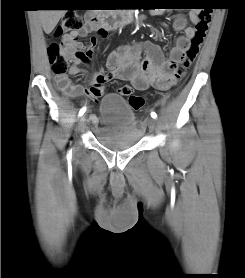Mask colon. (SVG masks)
Instances as JSON below:
<instances>
[{
  "label": "colon",
  "instance_id": "colon-1",
  "mask_svg": "<svg viewBox=\"0 0 245 278\" xmlns=\"http://www.w3.org/2000/svg\"><path fill=\"white\" fill-rule=\"evenodd\" d=\"M193 9L197 12V20L195 22V34L191 44L187 50L184 62L175 67L173 74L175 78H180L184 71L192 64L198 53L199 43L203 40L209 23L211 14L208 6H195ZM93 18L89 20V25H94ZM84 28V19L81 15L69 12L63 15L57 29L48 34L50 40L48 52L51 58V69L56 77H63L69 62L84 61L87 58V53L84 50L76 48L73 45L65 44L62 41H56L55 38L63 34L79 32ZM63 83H67L63 80ZM118 93L124 97H128L129 104L134 110H139L144 104V98L139 95L131 94L129 86H122Z\"/></svg>",
  "mask_w": 245,
  "mask_h": 278
}]
</instances>
